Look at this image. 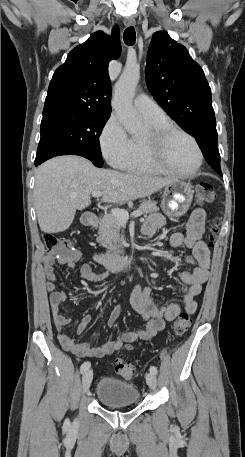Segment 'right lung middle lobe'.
I'll use <instances>...</instances> for the list:
<instances>
[{"label":"right lung middle lobe","mask_w":245,"mask_h":457,"mask_svg":"<svg viewBox=\"0 0 245 457\" xmlns=\"http://www.w3.org/2000/svg\"><path fill=\"white\" fill-rule=\"evenodd\" d=\"M110 113L91 110H60L43 113L41 138L35 163L58 155H80L103 166L99 136Z\"/></svg>","instance_id":"right-lung-middle-lobe-1"}]
</instances>
